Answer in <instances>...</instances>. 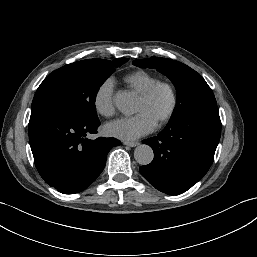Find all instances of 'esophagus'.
I'll list each match as a JSON object with an SVG mask.
<instances>
[{"label":"esophagus","instance_id":"1","mask_svg":"<svg viewBox=\"0 0 257 257\" xmlns=\"http://www.w3.org/2000/svg\"><path fill=\"white\" fill-rule=\"evenodd\" d=\"M123 144L129 147H136L139 145V142H129V141H123Z\"/></svg>","mask_w":257,"mask_h":257}]
</instances>
